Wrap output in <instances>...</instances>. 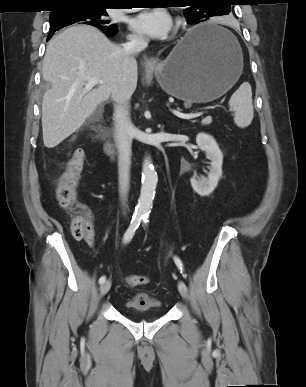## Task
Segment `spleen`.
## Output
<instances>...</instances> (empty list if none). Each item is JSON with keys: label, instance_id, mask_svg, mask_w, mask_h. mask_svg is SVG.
Listing matches in <instances>:
<instances>
[{"label": "spleen", "instance_id": "spleen-1", "mask_svg": "<svg viewBox=\"0 0 306 387\" xmlns=\"http://www.w3.org/2000/svg\"><path fill=\"white\" fill-rule=\"evenodd\" d=\"M230 109L234 110V122L238 127L250 125L254 110L252 105V90L248 82H244L233 93L229 100Z\"/></svg>", "mask_w": 306, "mask_h": 387}]
</instances>
